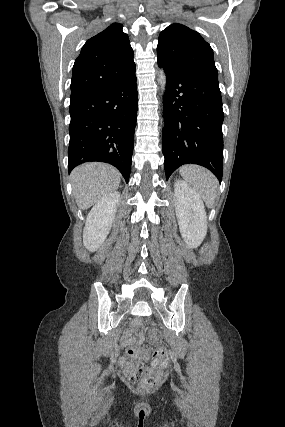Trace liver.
<instances>
[{"label": "liver", "instance_id": "1", "mask_svg": "<svg viewBox=\"0 0 285 427\" xmlns=\"http://www.w3.org/2000/svg\"><path fill=\"white\" fill-rule=\"evenodd\" d=\"M120 172L104 163H85L71 172L76 203L82 210L90 208L102 197L114 192L120 184Z\"/></svg>", "mask_w": 285, "mask_h": 427}]
</instances>
